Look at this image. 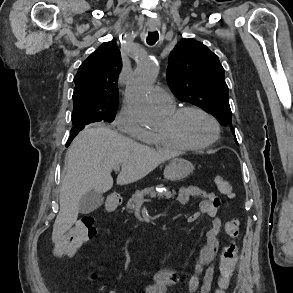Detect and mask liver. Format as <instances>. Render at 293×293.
Returning <instances> with one entry per match:
<instances>
[{"mask_svg": "<svg viewBox=\"0 0 293 293\" xmlns=\"http://www.w3.org/2000/svg\"><path fill=\"white\" fill-rule=\"evenodd\" d=\"M178 154L156 151L102 125L82 130L66 154L67 172L60 188V210L52 240L57 242L76 222L83 195L90 191L101 194L112 188L111 172L115 167L121 166L117 184L126 185L144 178Z\"/></svg>", "mask_w": 293, "mask_h": 293, "instance_id": "6515ba94", "label": "liver"}]
</instances>
